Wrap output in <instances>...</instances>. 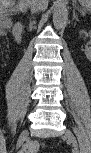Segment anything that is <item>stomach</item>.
Segmentation results:
<instances>
[{
    "mask_svg": "<svg viewBox=\"0 0 91 153\" xmlns=\"http://www.w3.org/2000/svg\"><path fill=\"white\" fill-rule=\"evenodd\" d=\"M80 3L85 6L87 9H89L91 1L90 0H80Z\"/></svg>",
    "mask_w": 91,
    "mask_h": 153,
    "instance_id": "stomach-1",
    "label": "stomach"
}]
</instances>
